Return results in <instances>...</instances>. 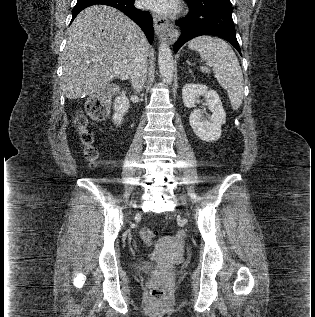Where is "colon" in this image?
I'll return each mask as SVG.
<instances>
[{"mask_svg": "<svg viewBox=\"0 0 315 317\" xmlns=\"http://www.w3.org/2000/svg\"><path fill=\"white\" fill-rule=\"evenodd\" d=\"M108 106L106 99L102 96L92 97L87 104L88 114L95 119H103L107 115ZM76 129L80 144L86 160L93 164L98 158V150L94 146V138L91 131L87 128L86 120L83 116L78 115L75 119ZM140 238L146 245H151L155 238V233L148 227H142L140 230ZM166 294L165 288L160 283L152 285L150 295L154 300L164 299Z\"/></svg>", "mask_w": 315, "mask_h": 317, "instance_id": "colon-1", "label": "colon"}]
</instances>
